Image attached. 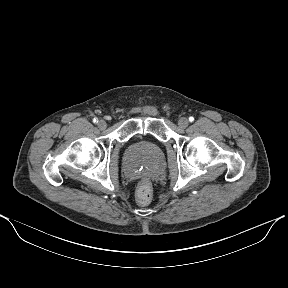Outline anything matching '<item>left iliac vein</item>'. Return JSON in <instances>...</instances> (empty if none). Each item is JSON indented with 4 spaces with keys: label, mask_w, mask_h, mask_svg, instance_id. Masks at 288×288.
<instances>
[{
    "label": "left iliac vein",
    "mask_w": 288,
    "mask_h": 288,
    "mask_svg": "<svg viewBox=\"0 0 288 288\" xmlns=\"http://www.w3.org/2000/svg\"><path fill=\"white\" fill-rule=\"evenodd\" d=\"M178 125H179V127L185 129L189 125V121H188L187 118L182 117V118L179 119Z\"/></svg>",
    "instance_id": "left-iliac-vein-1"
}]
</instances>
